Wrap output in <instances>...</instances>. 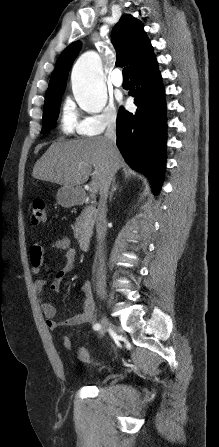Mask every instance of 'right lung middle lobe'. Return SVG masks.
<instances>
[{"label": "right lung middle lobe", "instance_id": "right-lung-middle-lobe-1", "mask_svg": "<svg viewBox=\"0 0 219 447\" xmlns=\"http://www.w3.org/2000/svg\"><path fill=\"white\" fill-rule=\"evenodd\" d=\"M62 95L63 93H60L45 99L41 133H46L55 126Z\"/></svg>", "mask_w": 219, "mask_h": 447}]
</instances>
